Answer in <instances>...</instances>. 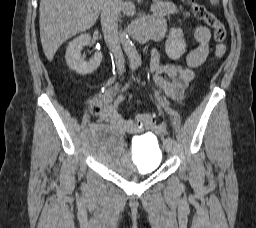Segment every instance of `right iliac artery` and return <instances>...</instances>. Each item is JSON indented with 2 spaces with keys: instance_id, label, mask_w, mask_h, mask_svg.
I'll return each instance as SVG.
<instances>
[{
  "instance_id": "right-iliac-artery-1",
  "label": "right iliac artery",
  "mask_w": 256,
  "mask_h": 228,
  "mask_svg": "<svg viewBox=\"0 0 256 228\" xmlns=\"http://www.w3.org/2000/svg\"><path fill=\"white\" fill-rule=\"evenodd\" d=\"M132 70H135L134 66H132ZM128 86H129V83L125 85V87L122 89V91H125L126 88H128ZM97 128H98V125L96 123L90 124V129L91 130H94V129H97Z\"/></svg>"
}]
</instances>
